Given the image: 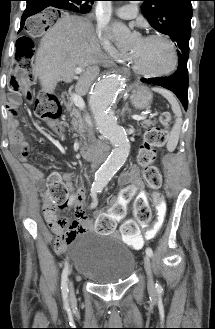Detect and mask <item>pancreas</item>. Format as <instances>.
<instances>
[{"instance_id":"pancreas-1","label":"pancreas","mask_w":215,"mask_h":329,"mask_svg":"<svg viewBox=\"0 0 215 329\" xmlns=\"http://www.w3.org/2000/svg\"><path fill=\"white\" fill-rule=\"evenodd\" d=\"M70 115L72 117L71 130L83 137L86 125L80 111L77 108H72ZM141 125L143 128H148L154 125V122L151 120H143Z\"/></svg>"}]
</instances>
